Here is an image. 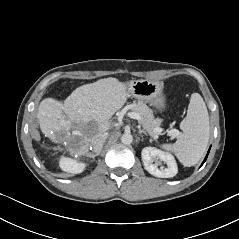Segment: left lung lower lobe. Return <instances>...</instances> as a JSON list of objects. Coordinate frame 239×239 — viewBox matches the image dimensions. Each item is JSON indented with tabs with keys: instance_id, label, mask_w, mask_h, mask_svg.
I'll return each mask as SVG.
<instances>
[{
	"instance_id": "1",
	"label": "left lung lower lobe",
	"mask_w": 239,
	"mask_h": 239,
	"mask_svg": "<svg viewBox=\"0 0 239 239\" xmlns=\"http://www.w3.org/2000/svg\"><path fill=\"white\" fill-rule=\"evenodd\" d=\"M208 152H209V151H208ZM207 156H208V155H206V157H205V159H204L203 163L206 161V159H207ZM203 163H202V164H203Z\"/></svg>"
}]
</instances>
